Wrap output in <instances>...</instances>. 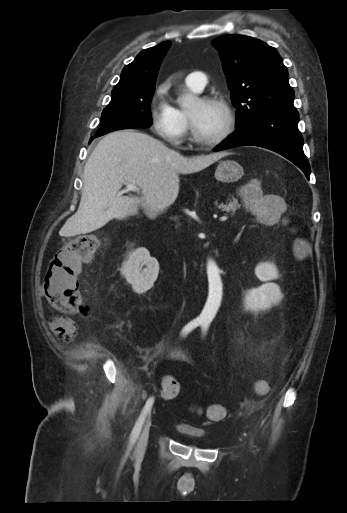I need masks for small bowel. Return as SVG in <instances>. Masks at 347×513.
I'll return each instance as SVG.
<instances>
[{
	"mask_svg": "<svg viewBox=\"0 0 347 513\" xmlns=\"http://www.w3.org/2000/svg\"><path fill=\"white\" fill-rule=\"evenodd\" d=\"M50 327L53 334L62 342H71L77 334V327L75 323L65 316H55L50 319ZM146 353L150 354L153 358H159L163 353V345L158 344L152 349H147ZM169 357L172 360L179 362H189V356L182 350L172 349L169 351Z\"/></svg>",
	"mask_w": 347,
	"mask_h": 513,
	"instance_id": "small-bowel-1",
	"label": "small bowel"
}]
</instances>
